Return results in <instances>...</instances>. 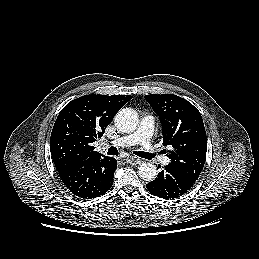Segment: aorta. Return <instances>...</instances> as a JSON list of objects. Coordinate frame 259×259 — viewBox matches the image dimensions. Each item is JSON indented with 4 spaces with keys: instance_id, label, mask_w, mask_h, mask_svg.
<instances>
[{
    "instance_id": "obj_1",
    "label": "aorta",
    "mask_w": 259,
    "mask_h": 259,
    "mask_svg": "<svg viewBox=\"0 0 259 259\" xmlns=\"http://www.w3.org/2000/svg\"><path fill=\"white\" fill-rule=\"evenodd\" d=\"M114 122L119 131L130 133L137 128L138 115L135 110L124 108L115 115ZM138 175L144 181H153L157 176V168L150 162L142 163L138 167Z\"/></svg>"
}]
</instances>
